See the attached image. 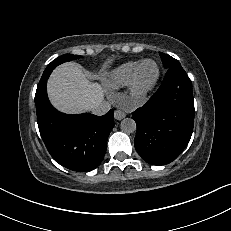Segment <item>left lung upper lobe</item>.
Wrapping results in <instances>:
<instances>
[{"label":"left lung upper lobe","mask_w":231,"mask_h":231,"mask_svg":"<svg viewBox=\"0 0 231 231\" xmlns=\"http://www.w3.org/2000/svg\"><path fill=\"white\" fill-rule=\"evenodd\" d=\"M159 54H160V57L162 59V63H163L164 68L169 69L173 66L180 65L179 61L174 59L173 57H171L167 54L161 53V52H159Z\"/></svg>","instance_id":"left-lung-upper-lobe-1"}]
</instances>
